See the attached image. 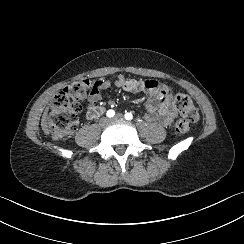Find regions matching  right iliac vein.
<instances>
[{"label": "right iliac vein", "instance_id": "obj_1", "mask_svg": "<svg viewBox=\"0 0 244 244\" xmlns=\"http://www.w3.org/2000/svg\"><path fill=\"white\" fill-rule=\"evenodd\" d=\"M109 123V118L108 117H103L101 119V125L104 126Z\"/></svg>", "mask_w": 244, "mask_h": 244}]
</instances>
